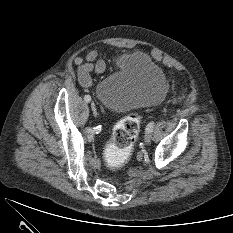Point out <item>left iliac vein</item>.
<instances>
[{"label":"left iliac vein","mask_w":233,"mask_h":233,"mask_svg":"<svg viewBox=\"0 0 233 233\" xmlns=\"http://www.w3.org/2000/svg\"><path fill=\"white\" fill-rule=\"evenodd\" d=\"M151 139H152V132L146 131L145 136H144L145 142H150Z\"/></svg>","instance_id":"1"}]
</instances>
